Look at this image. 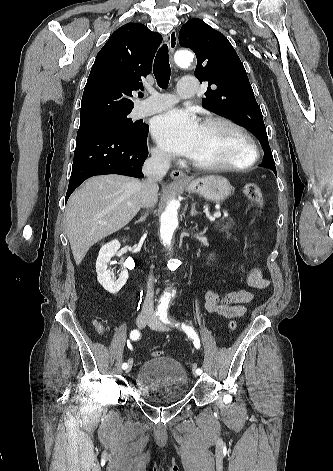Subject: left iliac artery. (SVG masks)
I'll return each mask as SVG.
<instances>
[{
    "mask_svg": "<svg viewBox=\"0 0 333 471\" xmlns=\"http://www.w3.org/2000/svg\"><path fill=\"white\" fill-rule=\"evenodd\" d=\"M160 316V319L163 323L165 324H170L172 325L173 323L168 319V315H167V312L166 311H162L160 312V314H158ZM175 326H180L181 329L186 332V334L188 335V337H190L191 339H193V344L194 346L199 349L200 348V340H199V337H198V334L194 331L193 327L191 326H186L185 324H179V323H175L174 324ZM196 373L197 374H202V369L201 368H197L196 369Z\"/></svg>",
    "mask_w": 333,
    "mask_h": 471,
    "instance_id": "1",
    "label": "left iliac artery"
}]
</instances>
